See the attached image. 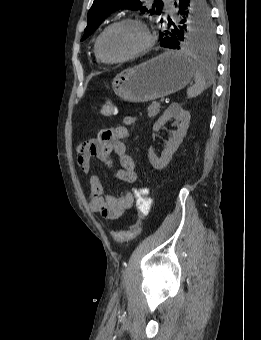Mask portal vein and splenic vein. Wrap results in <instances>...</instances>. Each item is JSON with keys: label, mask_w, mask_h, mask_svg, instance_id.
<instances>
[{"label": "portal vein and splenic vein", "mask_w": 261, "mask_h": 340, "mask_svg": "<svg viewBox=\"0 0 261 340\" xmlns=\"http://www.w3.org/2000/svg\"><path fill=\"white\" fill-rule=\"evenodd\" d=\"M164 101H165V98L160 99V103H164Z\"/></svg>", "instance_id": "obj_1"}]
</instances>
